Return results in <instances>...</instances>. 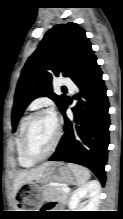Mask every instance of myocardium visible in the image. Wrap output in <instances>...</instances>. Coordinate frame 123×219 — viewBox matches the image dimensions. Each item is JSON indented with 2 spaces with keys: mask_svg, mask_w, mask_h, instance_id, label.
Listing matches in <instances>:
<instances>
[{
  "mask_svg": "<svg viewBox=\"0 0 123 219\" xmlns=\"http://www.w3.org/2000/svg\"><path fill=\"white\" fill-rule=\"evenodd\" d=\"M40 115H49L53 118L55 125H56V135H55L53 143L50 146V148L48 149V151L45 152L41 156H35L28 149V135H29V130H30L32 122L34 121L35 118H37ZM61 135H62V129H61V126H60V123L58 122V120L47 110H37V111L31 113L26 120L24 129H23V133H22V138H21L22 152H23L24 156L32 162L42 161V160L48 158L55 151L56 147L58 146V144L60 142Z\"/></svg>",
  "mask_w": 123,
  "mask_h": 219,
  "instance_id": "myocardium-1",
  "label": "myocardium"
}]
</instances>
